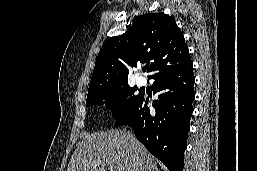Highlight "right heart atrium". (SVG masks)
Instances as JSON below:
<instances>
[{
	"label": "right heart atrium",
	"instance_id": "d8ad5b80",
	"mask_svg": "<svg viewBox=\"0 0 257 171\" xmlns=\"http://www.w3.org/2000/svg\"><path fill=\"white\" fill-rule=\"evenodd\" d=\"M112 107H113L114 110L117 111V110L119 109V102L116 101V100L113 101V102H112Z\"/></svg>",
	"mask_w": 257,
	"mask_h": 171
}]
</instances>
